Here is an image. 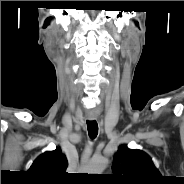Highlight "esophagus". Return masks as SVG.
Wrapping results in <instances>:
<instances>
[{
    "instance_id": "obj_1",
    "label": "esophagus",
    "mask_w": 184,
    "mask_h": 184,
    "mask_svg": "<svg viewBox=\"0 0 184 184\" xmlns=\"http://www.w3.org/2000/svg\"><path fill=\"white\" fill-rule=\"evenodd\" d=\"M89 119H90V120H94V119H95V117H89Z\"/></svg>"
}]
</instances>
